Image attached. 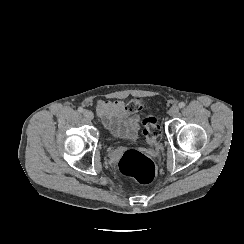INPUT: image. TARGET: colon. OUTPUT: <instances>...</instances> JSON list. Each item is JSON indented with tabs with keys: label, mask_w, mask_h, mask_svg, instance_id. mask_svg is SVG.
I'll return each mask as SVG.
<instances>
[{
	"label": "colon",
	"mask_w": 244,
	"mask_h": 244,
	"mask_svg": "<svg viewBox=\"0 0 244 244\" xmlns=\"http://www.w3.org/2000/svg\"><path fill=\"white\" fill-rule=\"evenodd\" d=\"M129 111L140 115L144 114L142 127L145 141L150 149H156L159 144L160 135L156 112L152 109L148 110L142 98L131 100ZM119 168L122 174L137 177V181L142 184H150L153 182L156 169L155 163L150 157L135 151H129L123 155Z\"/></svg>",
	"instance_id": "5ec220e1"
}]
</instances>
